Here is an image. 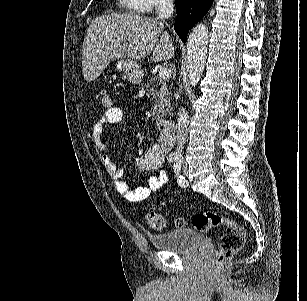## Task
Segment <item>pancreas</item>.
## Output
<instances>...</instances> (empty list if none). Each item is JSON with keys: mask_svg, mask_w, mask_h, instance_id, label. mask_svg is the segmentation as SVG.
<instances>
[{"mask_svg": "<svg viewBox=\"0 0 307 301\" xmlns=\"http://www.w3.org/2000/svg\"><path fill=\"white\" fill-rule=\"evenodd\" d=\"M144 86L149 90V94H153V116H166V114H170L172 98H170L171 92L167 86V82L149 74L146 82L142 84V88Z\"/></svg>", "mask_w": 307, "mask_h": 301, "instance_id": "obj_1", "label": "pancreas"}]
</instances>
